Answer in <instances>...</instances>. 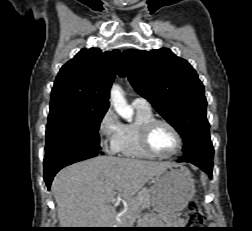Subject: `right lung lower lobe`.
Instances as JSON below:
<instances>
[{"mask_svg":"<svg viewBox=\"0 0 252 231\" xmlns=\"http://www.w3.org/2000/svg\"><path fill=\"white\" fill-rule=\"evenodd\" d=\"M100 150L94 148L70 147L45 155L44 180L48 189L55 174L63 167L97 156Z\"/></svg>","mask_w":252,"mask_h":231,"instance_id":"obj_1","label":"right lung lower lobe"}]
</instances>
